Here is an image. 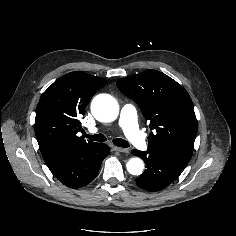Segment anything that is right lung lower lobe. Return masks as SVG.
Segmentation results:
<instances>
[{
    "mask_svg": "<svg viewBox=\"0 0 236 236\" xmlns=\"http://www.w3.org/2000/svg\"><path fill=\"white\" fill-rule=\"evenodd\" d=\"M109 153L110 148L103 143L76 146L48 167L62 184L77 189L88 185L96 177L102 160Z\"/></svg>",
    "mask_w": 236,
    "mask_h": 236,
    "instance_id": "98d812e1",
    "label": "right lung lower lobe"
}]
</instances>
